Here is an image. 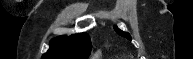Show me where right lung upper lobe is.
<instances>
[{"mask_svg":"<svg viewBox=\"0 0 193 59\" xmlns=\"http://www.w3.org/2000/svg\"><path fill=\"white\" fill-rule=\"evenodd\" d=\"M91 47V40L87 33L57 37L50 41V48L42 59H87Z\"/></svg>","mask_w":193,"mask_h":59,"instance_id":"cb5924a9","label":"right lung upper lobe"}]
</instances>
